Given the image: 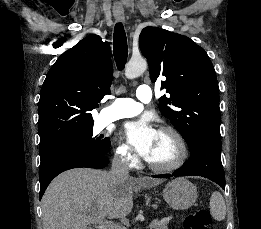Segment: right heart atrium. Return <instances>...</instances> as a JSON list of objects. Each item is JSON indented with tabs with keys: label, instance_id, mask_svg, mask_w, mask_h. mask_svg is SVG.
Returning <instances> with one entry per match:
<instances>
[{
	"label": "right heart atrium",
	"instance_id": "d8ad5b80",
	"mask_svg": "<svg viewBox=\"0 0 261 229\" xmlns=\"http://www.w3.org/2000/svg\"><path fill=\"white\" fill-rule=\"evenodd\" d=\"M115 160L122 167L133 170L138 166V159L132 149L125 143H120L115 150Z\"/></svg>",
	"mask_w": 261,
	"mask_h": 229
}]
</instances>
